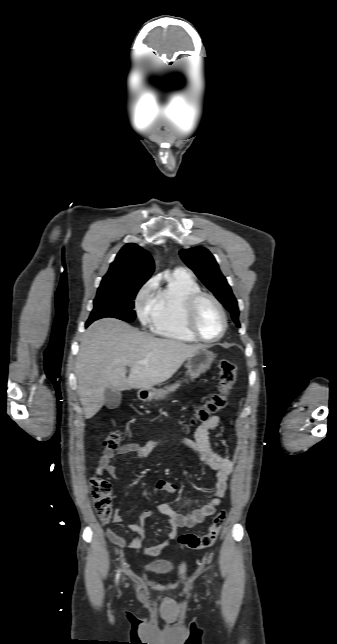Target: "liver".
Instances as JSON below:
<instances>
[{"mask_svg": "<svg viewBox=\"0 0 337 644\" xmlns=\"http://www.w3.org/2000/svg\"><path fill=\"white\" fill-rule=\"evenodd\" d=\"M203 347L155 338L114 318L92 323L82 337L75 365L85 418H92L102 408L107 388L151 389L171 378ZM141 360L148 363L138 364ZM126 366L130 367L128 377Z\"/></svg>", "mask_w": 337, "mask_h": 644, "instance_id": "1", "label": "liver"}]
</instances>
